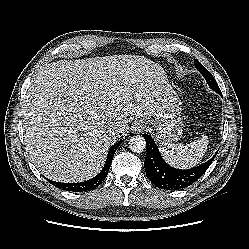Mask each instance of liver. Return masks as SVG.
Masks as SVG:
<instances>
[{
  "mask_svg": "<svg viewBox=\"0 0 249 249\" xmlns=\"http://www.w3.org/2000/svg\"><path fill=\"white\" fill-rule=\"evenodd\" d=\"M144 56L60 60L35 75L22 105L26 150L47 178L81 182L102 169L111 144L135 118L155 117L168 89ZM120 129L113 137L110 132Z\"/></svg>",
  "mask_w": 249,
  "mask_h": 249,
  "instance_id": "1",
  "label": "liver"
}]
</instances>
